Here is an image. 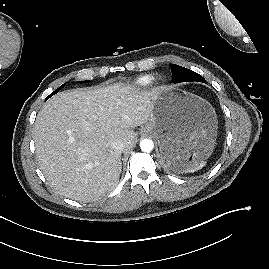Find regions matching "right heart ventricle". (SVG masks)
Listing matches in <instances>:
<instances>
[{
	"mask_svg": "<svg viewBox=\"0 0 269 269\" xmlns=\"http://www.w3.org/2000/svg\"><path fill=\"white\" fill-rule=\"evenodd\" d=\"M154 77L152 75H143L135 80V84L140 87H146L152 84Z\"/></svg>",
	"mask_w": 269,
	"mask_h": 269,
	"instance_id": "1",
	"label": "right heart ventricle"
}]
</instances>
